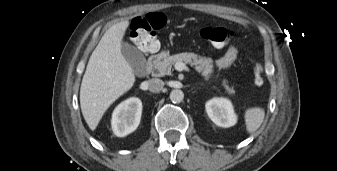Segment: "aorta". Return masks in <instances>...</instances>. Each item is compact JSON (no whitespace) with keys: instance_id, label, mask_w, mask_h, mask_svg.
Segmentation results:
<instances>
[{"instance_id":"aorta-1","label":"aorta","mask_w":337,"mask_h":171,"mask_svg":"<svg viewBox=\"0 0 337 171\" xmlns=\"http://www.w3.org/2000/svg\"><path fill=\"white\" fill-rule=\"evenodd\" d=\"M170 100L173 102V103H180L183 101L184 99V93L182 90L180 89H174L170 92Z\"/></svg>"}]
</instances>
